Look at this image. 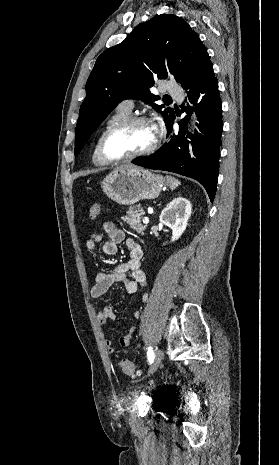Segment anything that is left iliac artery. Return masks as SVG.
Listing matches in <instances>:
<instances>
[{
    "label": "left iliac artery",
    "instance_id": "44dca946",
    "mask_svg": "<svg viewBox=\"0 0 279 465\" xmlns=\"http://www.w3.org/2000/svg\"><path fill=\"white\" fill-rule=\"evenodd\" d=\"M147 356H148L149 363H152L154 360V352L151 347H149L147 350Z\"/></svg>",
    "mask_w": 279,
    "mask_h": 465
}]
</instances>
